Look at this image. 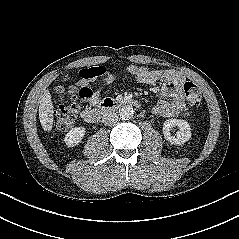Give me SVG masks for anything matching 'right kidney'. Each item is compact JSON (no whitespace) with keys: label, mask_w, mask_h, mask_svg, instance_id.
I'll return each mask as SVG.
<instances>
[{"label":"right kidney","mask_w":239,"mask_h":239,"mask_svg":"<svg viewBox=\"0 0 239 239\" xmlns=\"http://www.w3.org/2000/svg\"><path fill=\"white\" fill-rule=\"evenodd\" d=\"M84 127H75L72 128L65 136L64 141L68 147H74L81 143L85 135Z\"/></svg>","instance_id":"obj_1"}]
</instances>
